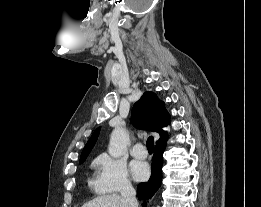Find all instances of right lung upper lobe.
<instances>
[{
	"mask_svg": "<svg viewBox=\"0 0 261 207\" xmlns=\"http://www.w3.org/2000/svg\"><path fill=\"white\" fill-rule=\"evenodd\" d=\"M131 123L138 129L159 133L160 138L156 142L158 144L166 141L167 133L163 130V127L170 123V116L165 109V104L158 99L155 93L145 92L132 109ZM99 131L100 128L94 131L85 145L80 159L88 156L96 143Z\"/></svg>",
	"mask_w": 261,
	"mask_h": 207,
	"instance_id": "cb5924a9",
	"label": "right lung upper lobe"
}]
</instances>
